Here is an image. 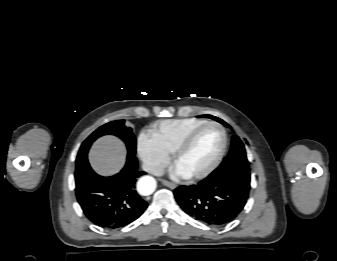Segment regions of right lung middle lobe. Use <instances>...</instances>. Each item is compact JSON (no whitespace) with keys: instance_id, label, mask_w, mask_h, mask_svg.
Instances as JSON below:
<instances>
[{"instance_id":"dd1d6c3e","label":"right lung middle lobe","mask_w":337,"mask_h":261,"mask_svg":"<svg viewBox=\"0 0 337 261\" xmlns=\"http://www.w3.org/2000/svg\"><path fill=\"white\" fill-rule=\"evenodd\" d=\"M103 135H115L119 137L126 144L128 153H136V138L132 133V129L124 125V120H117L99 127L82 143L77 155L76 163L87 157L88 150L92 143Z\"/></svg>"}]
</instances>
